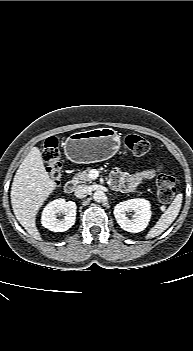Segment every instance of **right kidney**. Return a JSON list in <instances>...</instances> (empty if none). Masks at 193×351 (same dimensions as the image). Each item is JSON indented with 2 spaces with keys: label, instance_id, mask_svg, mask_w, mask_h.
<instances>
[{
  "label": "right kidney",
  "instance_id": "right-kidney-1",
  "mask_svg": "<svg viewBox=\"0 0 193 351\" xmlns=\"http://www.w3.org/2000/svg\"><path fill=\"white\" fill-rule=\"evenodd\" d=\"M76 209L75 202H66L62 198L53 200L45 206L42 212V226L53 232L67 231L75 223ZM57 214H63L64 218L59 220Z\"/></svg>",
  "mask_w": 193,
  "mask_h": 351
}]
</instances>
